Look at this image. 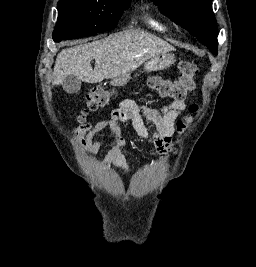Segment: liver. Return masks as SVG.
Masks as SVG:
<instances>
[{"label": "liver", "instance_id": "1", "mask_svg": "<svg viewBox=\"0 0 256 267\" xmlns=\"http://www.w3.org/2000/svg\"><path fill=\"white\" fill-rule=\"evenodd\" d=\"M164 52H175V48L143 30H123L92 44L62 50L56 58L52 86H59L67 76H76L87 84H98L104 78L122 82L128 72ZM91 60H95L94 70Z\"/></svg>", "mask_w": 256, "mask_h": 267}]
</instances>
